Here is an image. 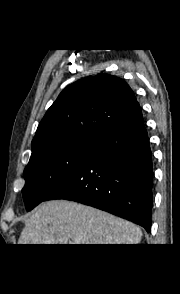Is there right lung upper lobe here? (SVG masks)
Here are the masks:
<instances>
[{"instance_id":"cb5924a9","label":"right lung upper lobe","mask_w":180,"mask_h":294,"mask_svg":"<svg viewBox=\"0 0 180 294\" xmlns=\"http://www.w3.org/2000/svg\"><path fill=\"white\" fill-rule=\"evenodd\" d=\"M133 91L122 79L98 74L66 87L40 122L32 140V155L74 139L99 141L136 109Z\"/></svg>"}]
</instances>
